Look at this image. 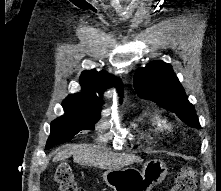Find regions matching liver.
Returning <instances> with one entry per match:
<instances>
[{
    "label": "liver",
    "instance_id": "obj_1",
    "mask_svg": "<svg viewBox=\"0 0 221 191\" xmlns=\"http://www.w3.org/2000/svg\"><path fill=\"white\" fill-rule=\"evenodd\" d=\"M72 155L75 163L95 166L105 170L120 169L142 161L139 156L105 151L99 149L97 146L88 144H69L65 149L56 153L53 161L65 160Z\"/></svg>",
    "mask_w": 221,
    "mask_h": 191
}]
</instances>
